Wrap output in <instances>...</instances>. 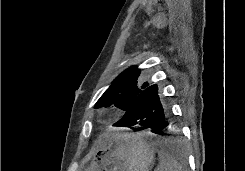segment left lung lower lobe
<instances>
[{"mask_svg":"<svg viewBox=\"0 0 245 171\" xmlns=\"http://www.w3.org/2000/svg\"><path fill=\"white\" fill-rule=\"evenodd\" d=\"M170 122L168 104L160 98L157 85H151L139 94L134 105L113 126L130 127L134 131L152 129V133L164 136Z\"/></svg>","mask_w":245,"mask_h":171,"instance_id":"1","label":"left lung lower lobe"}]
</instances>
